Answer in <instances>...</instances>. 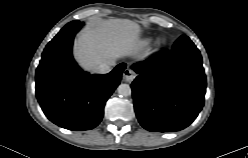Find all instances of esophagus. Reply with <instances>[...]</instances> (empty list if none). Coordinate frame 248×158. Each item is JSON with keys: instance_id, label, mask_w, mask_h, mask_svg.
<instances>
[{"instance_id": "1", "label": "esophagus", "mask_w": 248, "mask_h": 158, "mask_svg": "<svg viewBox=\"0 0 248 158\" xmlns=\"http://www.w3.org/2000/svg\"><path fill=\"white\" fill-rule=\"evenodd\" d=\"M135 76H136V73L129 68L125 69L123 72V80L125 82H129V83L132 82Z\"/></svg>"}]
</instances>
